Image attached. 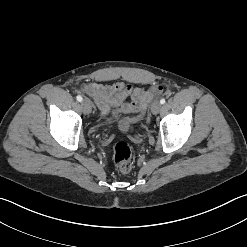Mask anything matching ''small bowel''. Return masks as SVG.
I'll use <instances>...</instances> for the list:
<instances>
[{"label": "small bowel", "mask_w": 247, "mask_h": 247, "mask_svg": "<svg viewBox=\"0 0 247 247\" xmlns=\"http://www.w3.org/2000/svg\"><path fill=\"white\" fill-rule=\"evenodd\" d=\"M160 89V87L154 86L149 89L134 88L124 82H117L112 85L90 82L85 84L82 90L92 98L103 117H116L120 112H143ZM127 97H131V102L124 103ZM139 119L140 116L135 120L124 119L120 122V128L127 130L132 123L139 121Z\"/></svg>", "instance_id": "small-bowel-1"}]
</instances>
